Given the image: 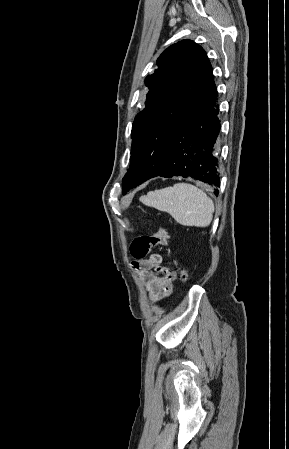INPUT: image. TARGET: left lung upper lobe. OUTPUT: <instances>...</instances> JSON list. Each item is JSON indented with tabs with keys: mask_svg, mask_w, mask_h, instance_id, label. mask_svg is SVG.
Returning a JSON list of instances; mask_svg holds the SVG:
<instances>
[{
	"mask_svg": "<svg viewBox=\"0 0 289 449\" xmlns=\"http://www.w3.org/2000/svg\"><path fill=\"white\" fill-rule=\"evenodd\" d=\"M157 66L145 79L149 88L145 108L132 125L130 168L122 181L123 194L161 172L166 138L189 117L212 75L206 52L190 40L168 47Z\"/></svg>",
	"mask_w": 289,
	"mask_h": 449,
	"instance_id": "5c2ea615",
	"label": "left lung upper lobe"
}]
</instances>
